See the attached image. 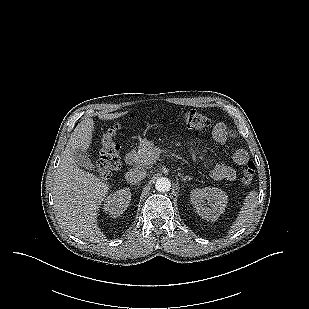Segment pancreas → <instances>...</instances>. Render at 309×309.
Segmentation results:
<instances>
[{"instance_id": "cf45deb5", "label": "pancreas", "mask_w": 309, "mask_h": 309, "mask_svg": "<svg viewBox=\"0 0 309 309\" xmlns=\"http://www.w3.org/2000/svg\"><path fill=\"white\" fill-rule=\"evenodd\" d=\"M159 158V152L151 141L144 140L140 144L135 162L140 165H150Z\"/></svg>"}]
</instances>
